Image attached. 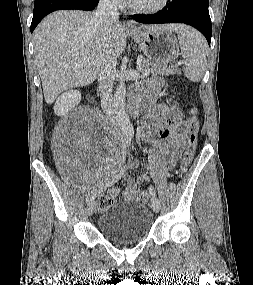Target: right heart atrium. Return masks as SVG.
Wrapping results in <instances>:
<instances>
[{"mask_svg": "<svg viewBox=\"0 0 253 285\" xmlns=\"http://www.w3.org/2000/svg\"><path fill=\"white\" fill-rule=\"evenodd\" d=\"M103 1L111 7H121L124 3V0H103Z\"/></svg>", "mask_w": 253, "mask_h": 285, "instance_id": "obj_1", "label": "right heart atrium"}]
</instances>
